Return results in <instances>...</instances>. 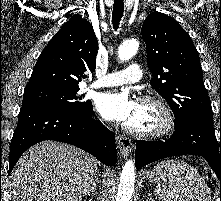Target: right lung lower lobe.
<instances>
[{
	"label": "right lung lower lobe",
	"instance_id": "obj_1",
	"mask_svg": "<svg viewBox=\"0 0 221 201\" xmlns=\"http://www.w3.org/2000/svg\"><path fill=\"white\" fill-rule=\"evenodd\" d=\"M92 114L93 107L78 113L42 104L22 106L10 144L8 174L29 147L44 140L74 145L113 166L117 161L115 136Z\"/></svg>",
	"mask_w": 221,
	"mask_h": 201
}]
</instances>
